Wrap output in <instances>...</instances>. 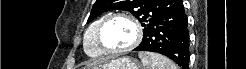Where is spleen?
<instances>
[{"instance_id":"3e777b00","label":"spleen","mask_w":246,"mask_h":69,"mask_svg":"<svg viewBox=\"0 0 246 69\" xmlns=\"http://www.w3.org/2000/svg\"><path fill=\"white\" fill-rule=\"evenodd\" d=\"M144 69H178V66L167 57L153 52H140L138 54Z\"/></svg>"}]
</instances>
